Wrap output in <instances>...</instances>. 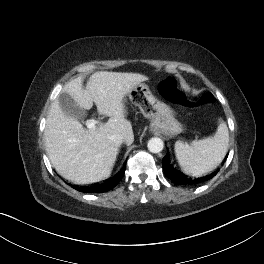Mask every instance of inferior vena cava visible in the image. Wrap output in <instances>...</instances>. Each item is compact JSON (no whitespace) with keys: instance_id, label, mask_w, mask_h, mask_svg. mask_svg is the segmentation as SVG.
<instances>
[{"instance_id":"602c4592","label":"inferior vena cava","mask_w":264,"mask_h":264,"mask_svg":"<svg viewBox=\"0 0 264 264\" xmlns=\"http://www.w3.org/2000/svg\"><path fill=\"white\" fill-rule=\"evenodd\" d=\"M109 139L116 144H121L122 142L125 141V138L123 136H120V135H112L109 137Z\"/></svg>"}]
</instances>
